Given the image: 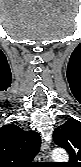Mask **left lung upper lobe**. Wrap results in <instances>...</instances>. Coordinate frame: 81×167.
I'll list each match as a JSON object with an SVG mask.
<instances>
[{
  "instance_id": "obj_1",
  "label": "left lung upper lobe",
  "mask_w": 81,
  "mask_h": 167,
  "mask_svg": "<svg viewBox=\"0 0 81 167\" xmlns=\"http://www.w3.org/2000/svg\"><path fill=\"white\" fill-rule=\"evenodd\" d=\"M54 142L69 153L66 167H79L81 161V122L71 119L53 132Z\"/></svg>"
}]
</instances>
